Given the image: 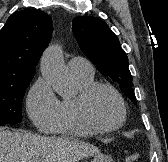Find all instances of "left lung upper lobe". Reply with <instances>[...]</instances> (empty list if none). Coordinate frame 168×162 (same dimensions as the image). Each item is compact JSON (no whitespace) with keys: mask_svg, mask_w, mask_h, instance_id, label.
Returning a JSON list of instances; mask_svg holds the SVG:
<instances>
[{"mask_svg":"<svg viewBox=\"0 0 168 162\" xmlns=\"http://www.w3.org/2000/svg\"><path fill=\"white\" fill-rule=\"evenodd\" d=\"M72 30L83 53L136 104L128 58L108 25L95 17H76Z\"/></svg>","mask_w":168,"mask_h":162,"instance_id":"1","label":"left lung upper lobe"}]
</instances>
